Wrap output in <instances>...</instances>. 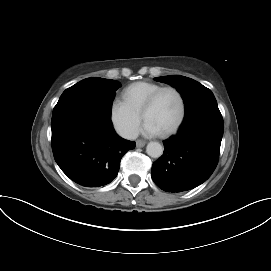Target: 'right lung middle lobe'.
<instances>
[{
    "label": "right lung middle lobe",
    "mask_w": 271,
    "mask_h": 271,
    "mask_svg": "<svg viewBox=\"0 0 271 271\" xmlns=\"http://www.w3.org/2000/svg\"><path fill=\"white\" fill-rule=\"evenodd\" d=\"M120 83L98 77L84 79L66 89L53 109L52 121L92 109L110 113L115 91Z\"/></svg>",
    "instance_id": "1"
}]
</instances>
